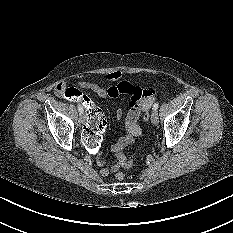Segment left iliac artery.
<instances>
[{"label":"left iliac artery","mask_w":233,"mask_h":233,"mask_svg":"<svg viewBox=\"0 0 233 233\" xmlns=\"http://www.w3.org/2000/svg\"><path fill=\"white\" fill-rule=\"evenodd\" d=\"M158 107H159V104H158V103H155V104L153 105V110L156 111V110L158 109Z\"/></svg>","instance_id":"obj_1"}]
</instances>
